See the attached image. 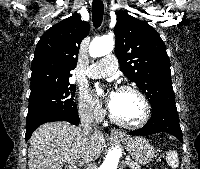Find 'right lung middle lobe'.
Here are the masks:
<instances>
[{"mask_svg":"<svg viewBox=\"0 0 200 169\" xmlns=\"http://www.w3.org/2000/svg\"><path fill=\"white\" fill-rule=\"evenodd\" d=\"M75 86L69 80L45 82L31 87L29 112L40 109L72 110L76 108L73 101Z\"/></svg>","mask_w":200,"mask_h":169,"instance_id":"obj_1","label":"right lung middle lobe"}]
</instances>
